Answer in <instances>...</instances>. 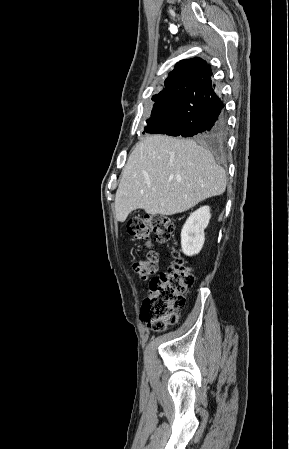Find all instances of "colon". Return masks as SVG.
<instances>
[{"mask_svg": "<svg viewBox=\"0 0 289 449\" xmlns=\"http://www.w3.org/2000/svg\"><path fill=\"white\" fill-rule=\"evenodd\" d=\"M127 230L136 240H147L153 233L163 244L172 241L175 224L163 215H145L129 220ZM133 269L142 280H149V293L143 301L141 316L154 331L161 332L176 323L179 311L186 302V292L194 283V275L187 262L176 255L169 268L159 277L157 254L148 250L145 256L133 262Z\"/></svg>", "mask_w": 289, "mask_h": 449, "instance_id": "5ec220e1", "label": "colon"}]
</instances>
